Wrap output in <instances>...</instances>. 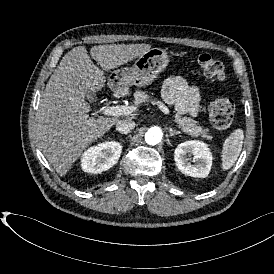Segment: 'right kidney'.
Returning <instances> with one entry per match:
<instances>
[{
  "instance_id": "1",
  "label": "right kidney",
  "mask_w": 274,
  "mask_h": 274,
  "mask_svg": "<svg viewBox=\"0 0 274 274\" xmlns=\"http://www.w3.org/2000/svg\"><path fill=\"white\" fill-rule=\"evenodd\" d=\"M122 145L116 141H107L90 147L81 157L84 172L99 174L113 167L119 160Z\"/></svg>"
}]
</instances>
